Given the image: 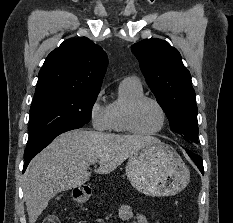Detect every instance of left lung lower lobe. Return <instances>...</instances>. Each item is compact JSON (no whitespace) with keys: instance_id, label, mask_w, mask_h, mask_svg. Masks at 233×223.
Listing matches in <instances>:
<instances>
[{"instance_id":"0a47b994","label":"left lung lower lobe","mask_w":233,"mask_h":223,"mask_svg":"<svg viewBox=\"0 0 233 223\" xmlns=\"http://www.w3.org/2000/svg\"><path fill=\"white\" fill-rule=\"evenodd\" d=\"M186 152L188 153V155L190 156V158L195 162V164L197 165V167L199 168L200 172L204 175V168H203V160L202 158L197 155L192 153L191 151L186 149Z\"/></svg>"}]
</instances>
